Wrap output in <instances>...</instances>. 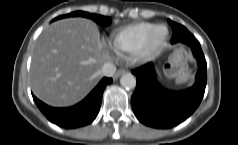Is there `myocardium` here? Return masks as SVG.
Wrapping results in <instances>:
<instances>
[{
    "mask_svg": "<svg viewBox=\"0 0 238 145\" xmlns=\"http://www.w3.org/2000/svg\"><path fill=\"white\" fill-rule=\"evenodd\" d=\"M163 30L164 33L158 37V31ZM169 37V30L164 24L155 25L148 33L140 47L133 52L135 61L143 63L154 57L166 44Z\"/></svg>",
    "mask_w": 238,
    "mask_h": 145,
    "instance_id": "obj_1",
    "label": "myocardium"
}]
</instances>
